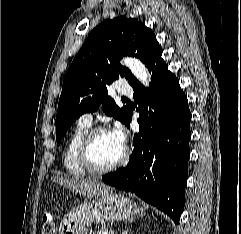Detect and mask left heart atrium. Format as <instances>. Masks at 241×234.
Wrapping results in <instances>:
<instances>
[{
	"label": "left heart atrium",
	"instance_id": "left-heart-atrium-1",
	"mask_svg": "<svg viewBox=\"0 0 241 234\" xmlns=\"http://www.w3.org/2000/svg\"><path fill=\"white\" fill-rule=\"evenodd\" d=\"M110 133L122 146L125 145V140H126L125 132L123 127L119 123L115 124L114 128L111 130Z\"/></svg>",
	"mask_w": 241,
	"mask_h": 234
}]
</instances>
